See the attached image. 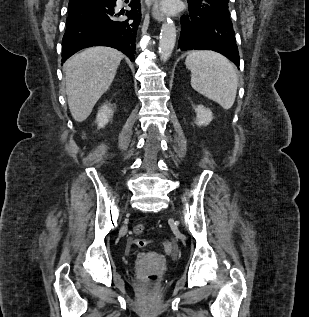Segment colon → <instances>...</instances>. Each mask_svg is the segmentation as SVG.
Returning <instances> with one entry per match:
<instances>
[{"instance_id": "colon-1", "label": "colon", "mask_w": 309, "mask_h": 317, "mask_svg": "<svg viewBox=\"0 0 309 317\" xmlns=\"http://www.w3.org/2000/svg\"><path fill=\"white\" fill-rule=\"evenodd\" d=\"M144 231V225L143 224H136L133 227V233L134 234H141ZM133 244L136 245L137 247H145L149 244V241L144 240V239H134ZM163 247L166 251H171L172 250V244L168 241L163 242Z\"/></svg>"}]
</instances>
